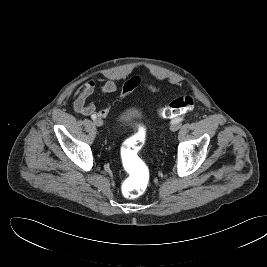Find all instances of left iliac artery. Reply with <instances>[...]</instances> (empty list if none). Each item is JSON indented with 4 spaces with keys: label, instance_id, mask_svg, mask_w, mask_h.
<instances>
[{
    "label": "left iliac artery",
    "instance_id": "obj_1",
    "mask_svg": "<svg viewBox=\"0 0 267 267\" xmlns=\"http://www.w3.org/2000/svg\"><path fill=\"white\" fill-rule=\"evenodd\" d=\"M184 120L183 117H178L172 120V123H178V122H182Z\"/></svg>",
    "mask_w": 267,
    "mask_h": 267
}]
</instances>
